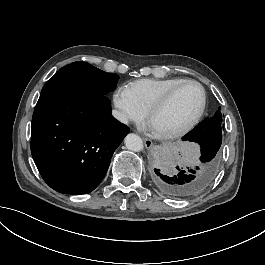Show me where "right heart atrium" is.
I'll list each match as a JSON object with an SVG mask.
<instances>
[{
    "label": "right heart atrium",
    "mask_w": 265,
    "mask_h": 265,
    "mask_svg": "<svg viewBox=\"0 0 265 265\" xmlns=\"http://www.w3.org/2000/svg\"><path fill=\"white\" fill-rule=\"evenodd\" d=\"M134 96L126 86H119L112 99V118L120 127H130L133 124L142 125L145 122L146 112L139 110L134 115L132 106Z\"/></svg>",
    "instance_id": "d8ad5b80"
}]
</instances>
